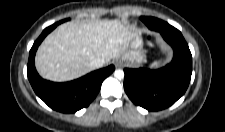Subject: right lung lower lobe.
<instances>
[{"label": "right lung lower lobe", "instance_id": "obj_1", "mask_svg": "<svg viewBox=\"0 0 225 132\" xmlns=\"http://www.w3.org/2000/svg\"><path fill=\"white\" fill-rule=\"evenodd\" d=\"M59 24L57 22L47 27L34 42L29 53L27 74L35 93L49 107L63 113H74L87 107L94 100L101 88L103 80L115 70V67L110 65L106 68L91 72L77 80L65 83H54L42 79L35 69V53L46 35Z\"/></svg>", "mask_w": 225, "mask_h": 132}]
</instances>
